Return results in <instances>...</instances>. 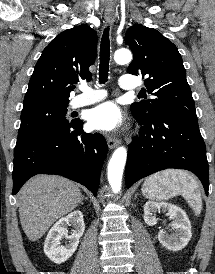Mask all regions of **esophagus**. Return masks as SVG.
<instances>
[{
	"mask_svg": "<svg viewBox=\"0 0 215 274\" xmlns=\"http://www.w3.org/2000/svg\"><path fill=\"white\" fill-rule=\"evenodd\" d=\"M114 14L113 13H106L105 14V21L107 24H112L114 22ZM121 143L120 139L115 136H110L107 138V144L110 149L117 147Z\"/></svg>",
	"mask_w": 215,
	"mask_h": 274,
	"instance_id": "1",
	"label": "esophagus"
}]
</instances>
